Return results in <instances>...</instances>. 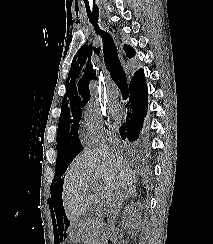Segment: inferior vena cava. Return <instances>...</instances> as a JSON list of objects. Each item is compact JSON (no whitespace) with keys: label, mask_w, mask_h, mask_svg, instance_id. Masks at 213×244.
<instances>
[{"label":"inferior vena cava","mask_w":213,"mask_h":244,"mask_svg":"<svg viewBox=\"0 0 213 244\" xmlns=\"http://www.w3.org/2000/svg\"><path fill=\"white\" fill-rule=\"evenodd\" d=\"M113 142H118V137H113ZM114 150L118 151L116 144L114 143L113 145ZM122 202V195L120 193H117L115 195H113V197L111 199H107L106 200V207L108 209V213L111 216H114L115 213L117 212V209H119L120 204Z\"/></svg>","instance_id":"inferior-vena-cava-1"}]
</instances>
